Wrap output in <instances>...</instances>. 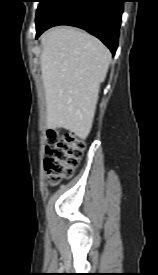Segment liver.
<instances>
[{
  "label": "liver",
  "instance_id": "6515ba94",
  "mask_svg": "<svg viewBox=\"0 0 158 275\" xmlns=\"http://www.w3.org/2000/svg\"><path fill=\"white\" fill-rule=\"evenodd\" d=\"M41 45L47 128H64L85 139L92 128L111 53L97 38L69 27L46 31Z\"/></svg>",
  "mask_w": 158,
  "mask_h": 275
}]
</instances>
